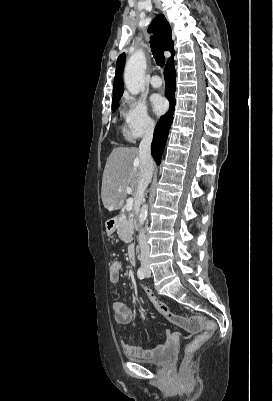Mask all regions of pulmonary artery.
<instances>
[{
  "instance_id": "e3ab8cb5",
  "label": "pulmonary artery",
  "mask_w": 273,
  "mask_h": 401,
  "mask_svg": "<svg viewBox=\"0 0 273 401\" xmlns=\"http://www.w3.org/2000/svg\"><path fill=\"white\" fill-rule=\"evenodd\" d=\"M150 83H149V86H150V88L151 89H158L159 88V86H160V80H161V77H160V75L159 74H152L151 75V77H150Z\"/></svg>"
}]
</instances>
